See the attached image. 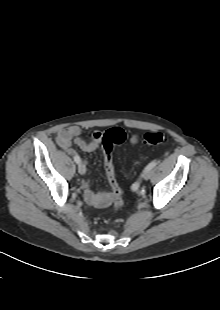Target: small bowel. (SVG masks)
Masks as SVG:
<instances>
[{
	"instance_id": "obj_1",
	"label": "small bowel",
	"mask_w": 220,
	"mask_h": 310,
	"mask_svg": "<svg viewBox=\"0 0 220 310\" xmlns=\"http://www.w3.org/2000/svg\"><path fill=\"white\" fill-rule=\"evenodd\" d=\"M102 134L99 131H95L91 134L88 140L81 137V129L76 125L66 127L59 131L56 141L58 145L65 150L71 156H78L77 152L72 148L73 144H76L83 152L91 153L96 151L101 144ZM138 136L132 135L130 143L135 145L138 143ZM83 196L85 201L95 207H104L107 205V201L110 195L107 192L96 193L91 190L88 180L82 182Z\"/></svg>"
}]
</instances>
